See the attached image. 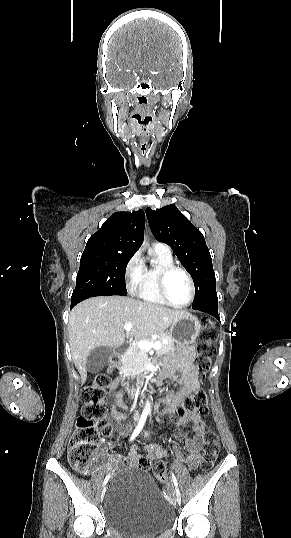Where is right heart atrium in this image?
<instances>
[{
	"label": "right heart atrium",
	"instance_id": "1",
	"mask_svg": "<svg viewBox=\"0 0 291 538\" xmlns=\"http://www.w3.org/2000/svg\"><path fill=\"white\" fill-rule=\"evenodd\" d=\"M144 270V263L139 252H135L124 267L126 286L130 293H136Z\"/></svg>",
	"mask_w": 291,
	"mask_h": 538
}]
</instances>
